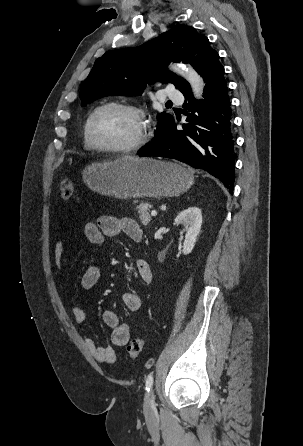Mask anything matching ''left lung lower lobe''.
I'll use <instances>...</instances> for the list:
<instances>
[{"instance_id":"1","label":"left lung lower lobe","mask_w":303,"mask_h":446,"mask_svg":"<svg viewBox=\"0 0 303 446\" xmlns=\"http://www.w3.org/2000/svg\"><path fill=\"white\" fill-rule=\"evenodd\" d=\"M204 99L196 101L191 88L182 91L187 124L177 130L174 118L156 132L151 143L140 149L139 156L174 158L200 168L218 178L233 193L234 163L231 134V104L224 67L215 54L202 73Z\"/></svg>"}]
</instances>
